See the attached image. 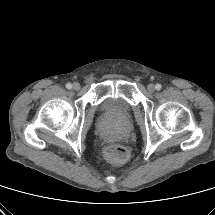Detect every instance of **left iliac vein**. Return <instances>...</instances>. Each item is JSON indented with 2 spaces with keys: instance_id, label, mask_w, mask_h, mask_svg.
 Wrapping results in <instances>:
<instances>
[{
  "instance_id": "left-iliac-vein-1",
  "label": "left iliac vein",
  "mask_w": 215,
  "mask_h": 215,
  "mask_svg": "<svg viewBox=\"0 0 215 215\" xmlns=\"http://www.w3.org/2000/svg\"><path fill=\"white\" fill-rule=\"evenodd\" d=\"M147 89L150 93H153L155 91V86L153 84H149Z\"/></svg>"
}]
</instances>
